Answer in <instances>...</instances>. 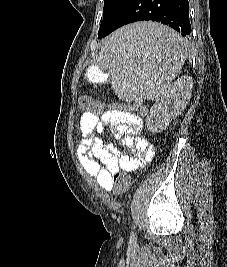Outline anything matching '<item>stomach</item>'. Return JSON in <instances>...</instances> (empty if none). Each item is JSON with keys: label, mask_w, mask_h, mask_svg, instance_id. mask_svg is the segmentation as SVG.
Listing matches in <instances>:
<instances>
[{"label": "stomach", "mask_w": 227, "mask_h": 267, "mask_svg": "<svg viewBox=\"0 0 227 267\" xmlns=\"http://www.w3.org/2000/svg\"><path fill=\"white\" fill-rule=\"evenodd\" d=\"M86 76L91 82H104L109 74L104 73L98 66L92 65L87 69Z\"/></svg>", "instance_id": "stomach-1"}]
</instances>
